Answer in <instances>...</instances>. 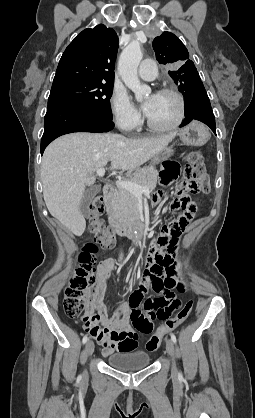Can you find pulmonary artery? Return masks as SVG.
Returning a JSON list of instances; mask_svg holds the SVG:
<instances>
[{"label": "pulmonary artery", "mask_w": 255, "mask_h": 418, "mask_svg": "<svg viewBox=\"0 0 255 418\" xmlns=\"http://www.w3.org/2000/svg\"><path fill=\"white\" fill-rule=\"evenodd\" d=\"M139 76L144 80H153L157 76V67L153 60L145 59L141 62L138 69Z\"/></svg>", "instance_id": "pulmonary-artery-1"}]
</instances>
